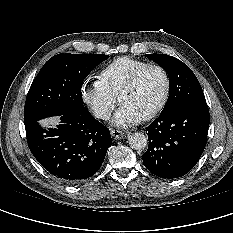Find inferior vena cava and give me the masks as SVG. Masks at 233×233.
Instances as JSON below:
<instances>
[{
  "label": "inferior vena cava",
  "instance_id": "1",
  "mask_svg": "<svg viewBox=\"0 0 233 233\" xmlns=\"http://www.w3.org/2000/svg\"><path fill=\"white\" fill-rule=\"evenodd\" d=\"M110 111L106 108L98 109L95 112V116L99 119L108 120L110 118Z\"/></svg>",
  "mask_w": 233,
  "mask_h": 233
}]
</instances>
